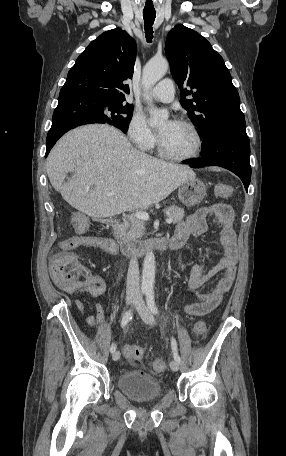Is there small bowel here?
<instances>
[{
  "label": "small bowel",
  "mask_w": 286,
  "mask_h": 456,
  "mask_svg": "<svg viewBox=\"0 0 286 456\" xmlns=\"http://www.w3.org/2000/svg\"><path fill=\"white\" fill-rule=\"evenodd\" d=\"M233 221L234 212L232 208L227 204L218 203L198 209L176 226L174 235H181L186 240L190 234L202 235L206 233L212 224L219 225L222 228L221 249L224 256L221 261L212 267H209L207 263L196 264L189 270L188 285L196 293L198 301L183 307L184 312L188 315L203 316L213 311L219 305L225 293L229 291L235 279L239 249L236 243ZM64 246H69L71 249L79 247L96 248L111 255L119 253L118 247L113 240L99 235L72 236L61 243V247ZM220 272L223 273V276L215 288L210 292H203V287ZM61 289L69 294L85 293L97 298L106 293L107 284L100 274L90 272L87 273L85 282L77 290ZM75 302L79 310L85 312L84 303L78 298ZM87 322L89 325H94L95 323L103 324L105 322L104 308L100 302H95V313L87 315ZM135 347L134 345H125L123 347L125 356L127 351Z\"/></svg>",
  "instance_id": "c3829d8e"
}]
</instances>
